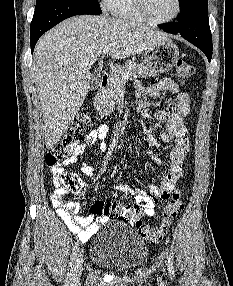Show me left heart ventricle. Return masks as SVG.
<instances>
[{
    "instance_id": "left-heart-ventricle-1",
    "label": "left heart ventricle",
    "mask_w": 233,
    "mask_h": 286,
    "mask_svg": "<svg viewBox=\"0 0 233 286\" xmlns=\"http://www.w3.org/2000/svg\"><path fill=\"white\" fill-rule=\"evenodd\" d=\"M148 14L156 20L170 17L176 8L175 0H145Z\"/></svg>"
}]
</instances>
